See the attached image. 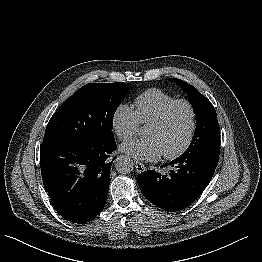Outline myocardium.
I'll list each match as a JSON object with an SVG mask.
<instances>
[{"instance_id":"obj_1","label":"myocardium","mask_w":262,"mask_h":262,"mask_svg":"<svg viewBox=\"0 0 262 262\" xmlns=\"http://www.w3.org/2000/svg\"><path fill=\"white\" fill-rule=\"evenodd\" d=\"M179 104L187 105L189 110H190V114H191L190 130H189L186 141L178 150H176L175 152H173L171 154H163V157L167 160H174V159L180 157L190 147V145H191V143L194 139L196 128H197V111H196V108H195L194 104L188 99H176L173 102H171L170 104H168L161 111V113L154 120H152L149 123V125H153V126L163 125L166 122V120H167L170 112L172 111V109Z\"/></svg>"}]
</instances>
